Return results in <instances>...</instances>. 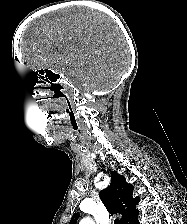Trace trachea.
<instances>
[{
	"label": "trachea",
	"instance_id": "3493384b",
	"mask_svg": "<svg viewBox=\"0 0 187 224\" xmlns=\"http://www.w3.org/2000/svg\"><path fill=\"white\" fill-rule=\"evenodd\" d=\"M114 224H121V223H120V221H119L118 219H116V220L114 221Z\"/></svg>",
	"mask_w": 187,
	"mask_h": 224
}]
</instances>
